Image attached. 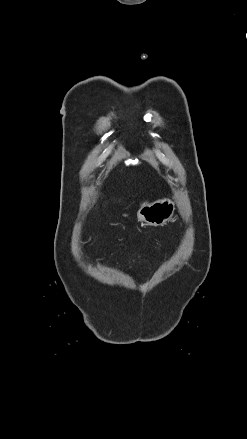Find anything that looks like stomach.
Here are the masks:
<instances>
[{
    "mask_svg": "<svg viewBox=\"0 0 247 439\" xmlns=\"http://www.w3.org/2000/svg\"><path fill=\"white\" fill-rule=\"evenodd\" d=\"M175 205L169 199H160L151 204L142 206L138 213V219L151 226H162L174 215Z\"/></svg>",
    "mask_w": 247,
    "mask_h": 439,
    "instance_id": "0dacf381",
    "label": "stomach"
}]
</instances>
